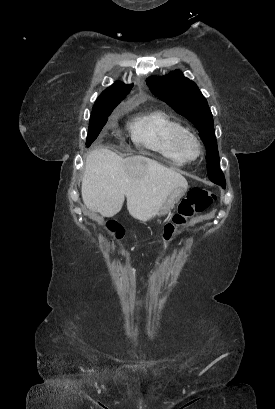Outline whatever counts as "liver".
Here are the masks:
<instances>
[{"instance_id":"liver-1","label":"liver","mask_w":275,"mask_h":409,"mask_svg":"<svg viewBox=\"0 0 275 409\" xmlns=\"http://www.w3.org/2000/svg\"><path fill=\"white\" fill-rule=\"evenodd\" d=\"M188 182L180 172L147 156L122 158L108 148H95L87 154L81 192L84 205L102 217H114L127 209L139 221L156 217L174 188Z\"/></svg>"}]
</instances>
